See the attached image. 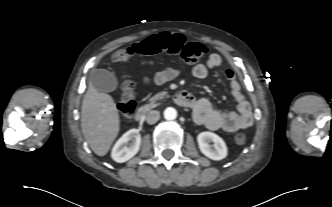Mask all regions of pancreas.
<instances>
[{
  "label": "pancreas",
  "instance_id": "1",
  "mask_svg": "<svg viewBox=\"0 0 332 207\" xmlns=\"http://www.w3.org/2000/svg\"><path fill=\"white\" fill-rule=\"evenodd\" d=\"M165 96L169 97V95H167V92H165V91L157 93L156 95H154L150 98V100H149L150 103L148 104V106L150 108L156 107L158 105L157 101L163 99Z\"/></svg>",
  "mask_w": 332,
  "mask_h": 207
}]
</instances>
